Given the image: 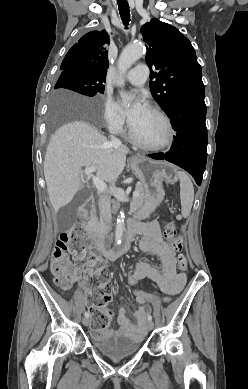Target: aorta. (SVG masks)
Returning <instances> with one entry per match:
<instances>
[{
    "label": "aorta",
    "instance_id": "obj_1",
    "mask_svg": "<svg viewBox=\"0 0 248 389\" xmlns=\"http://www.w3.org/2000/svg\"><path fill=\"white\" fill-rule=\"evenodd\" d=\"M143 53H144V46L142 44H131L123 49L117 63L119 77L116 81V85L118 87L124 86L125 80L123 78V75L133 65V63H135L140 57H142ZM124 218H125L124 212L121 211L120 215L117 218L116 228H115V241L117 244H121L122 242L124 222H125Z\"/></svg>",
    "mask_w": 248,
    "mask_h": 389
}]
</instances>
